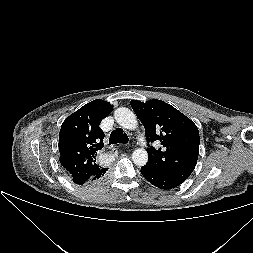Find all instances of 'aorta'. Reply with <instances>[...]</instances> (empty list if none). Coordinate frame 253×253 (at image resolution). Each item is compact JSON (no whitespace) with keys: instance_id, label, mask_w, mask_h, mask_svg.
<instances>
[{"instance_id":"1","label":"aorta","mask_w":253,"mask_h":253,"mask_svg":"<svg viewBox=\"0 0 253 253\" xmlns=\"http://www.w3.org/2000/svg\"><path fill=\"white\" fill-rule=\"evenodd\" d=\"M116 122L123 128L134 130L137 128L138 121L136 115L128 108L120 107L114 112ZM132 160L137 166H144L148 161V153L143 148L134 150Z\"/></svg>"}]
</instances>
